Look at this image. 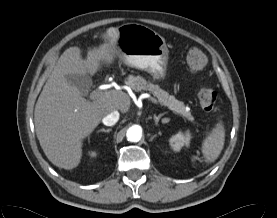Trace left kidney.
Returning a JSON list of instances; mask_svg holds the SVG:
<instances>
[{"label":"left kidney","instance_id":"obj_1","mask_svg":"<svg viewBox=\"0 0 277 218\" xmlns=\"http://www.w3.org/2000/svg\"><path fill=\"white\" fill-rule=\"evenodd\" d=\"M170 146L175 152H179L184 145H189L190 142V134L186 132L183 134L182 132L177 133L176 135L172 136L169 140Z\"/></svg>","mask_w":277,"mask_h":218}]
</instances>
